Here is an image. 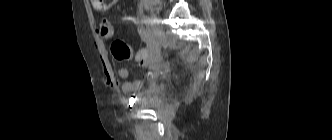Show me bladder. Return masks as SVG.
Returning <instances> with one entry per match:
<instances>
[{
    "instance_id": "bladder-1",
    "label": "bladder",
    "mask_w": 332,
    "mask_h": 140,
    "mask_svg": "<svg viewBox=\"0 0 332 140\" xmlns=\"http://www.w3.org/2000/svg\"><path fill=\"white\" fill-rule=\"evenodd\" d=\"M158 93V89L156 86L153 87V89L143 95H141L139 98H138V101L140 103H143V104H148L152 101L154 95H156Z\"/></svg>"
}]
</instances>
